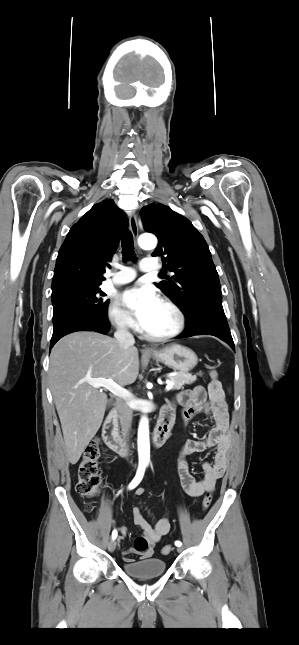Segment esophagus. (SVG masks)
Masks as SVG:
<instances>
[{"label":"esophagus","instance_id":"1","mask_svg":"<svg viewBox=\"0 0 299 645\" xmlns=\"http://www.w3.org/2000/svg\"><path fill=\"white\" fill-rule=\"evenodd\" d=\"M129 227H130V230H131L134 238L137 239V237H138V224H137L136 215L134 213H131L130 216H129ZM143 351H144V353H150L152 350L150 348H148V347H145Z\"/></svg>","mask_w":299,"mask_h":645}]
</instances>
